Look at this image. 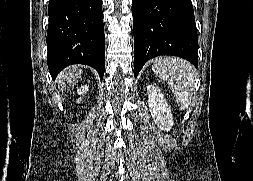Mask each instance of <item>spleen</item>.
<instances>
[{
    "label": "spleen",
    "mask_w": 253,
    "mask_h": 181,
    "mask_svg": "<svg viewBox=\"0 0 253 181\" xmlns=\"http://www.w3.org/2000/svg\"><path fill=\"white\" fill-rule=\"evenodd\" d=\"M152 69L169 85L180 108L185 109L194 89L195 73L192 65L181 58L159 57L154 60Z\"/></svg>",
    "instance_id": "spleen-1"
}]
</instances>
